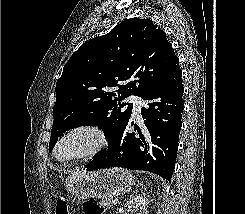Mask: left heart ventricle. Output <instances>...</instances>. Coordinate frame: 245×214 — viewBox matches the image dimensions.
I'll list each match as a JSON object with an SVG mask.
<instances>
[{
    "label": "left heart ventricle",
    "instance_id": "1",
    "mask_svg": "<svg viewBox=\"0 0 245 214\" xmlns=\"http://www.w3.org/2000/svg\"><path fill=\"white\" fill-rule=\"evenodd\" d=\"M95 142L94 137L85 132L68 136L58 148L60 158H70L89 150Z\"/></svg>",
    "mask_w": 245,
    "mask_h": 214
}]
</instances>
